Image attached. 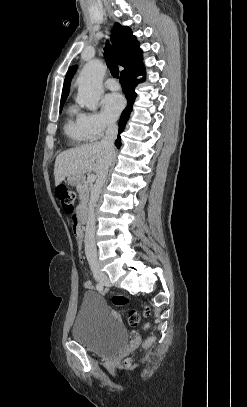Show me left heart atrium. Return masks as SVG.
Returning a JSON list of instances; mask_svg holds the SVG:
<instances>
[{
  "mask_svg": "<svg viewBox=\"0 0 247 407\" xmlns=\"http://www.w3.org/2000/svg\"><path fill=\"white\" fill-rule=\"evenodd\" d=\"M102 107L105 115L109 119L115 120L124 107V99L117 93L107 94L102 99Z\"/></svg>",
  "mask_w": 247,
  "mask_h": 407,
  "instance_id": "39dd6f15",
  "label": "left heart atrium"
}]
</instances>
